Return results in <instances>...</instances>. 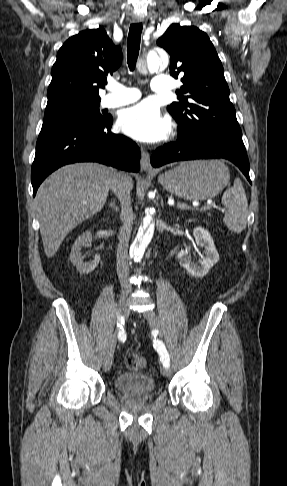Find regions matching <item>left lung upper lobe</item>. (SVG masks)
<instances>
[{"mask_svg":"<svg viewBox=\"0 0 287 486\" xmlns=\"http://www.w3.org/2000/svg\"><path fill=\"white\" fill-rule=\"evenodd\" d=\"M157 44L170 54V74L183 75V86L176 91L179 102L167 107L179 130L242 141L224 69L207 34L194 26L172 24Z\"/></svg>","mask_w":287,"mask_h":486,"instance_id":"1","label":"left lung upper lobe"}]
</instances>
